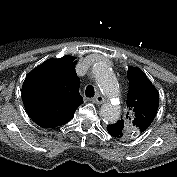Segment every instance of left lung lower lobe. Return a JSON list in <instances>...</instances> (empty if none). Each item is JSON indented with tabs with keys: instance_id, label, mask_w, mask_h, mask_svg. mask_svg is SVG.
<instances>
[{
	"instance_id": "obj_1",
	"label": "left lung lower lobe",
	"mask_w": 177,
	"mask_h": 177,
	"mask_svg": "<svg viewBox=\"0 0 177 177\" xmlns=\"http://www.w3.org/2000/svg\"><path fill=\"white\" fill-rule=\"evenodd\" d=\"M107 131L114 138H120L122 136V131L115 127L114 124L108 125Z\"/></svg>"
}]
</instances>
